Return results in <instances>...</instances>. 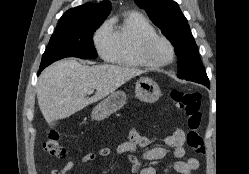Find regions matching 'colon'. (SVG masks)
I'll return each instance as SVG.
<instances>
[{
    "label": "colon",
    "instance_id": "5ec220e1",
    "mask_svg": "<svg viewBox=\"0 0 249 174\" xmlns=\"http://www.w3.org/2000/svg\"><path fill=\"white\" fill-rule=\"evenodd\" d=\"M173 103L187 116L188 131L186 135L187 145L199 154H205L204 139L200 132L202 125L201 99L197 92H187L172 89L170 92ZM59 132H51L44 142L46 152L55 157H64L66 149L60 143Z\"/></svg>",
    "mask_w": 249,
    "mask_h": 174
}]
</instances>
